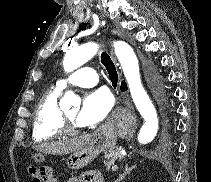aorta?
Segmentation results:
<instances>
[{"label":"aorta","instance_id":"762f6f07","mask_svg":"<svg viewBox=\"0 0 211 182\" xmlns=\"http://www.w3.org/2000/svg\"><path fill=\"white\" fill-rule=\"evenodd\" d=\"M113 46L122 66L134 104L144 119V124L138 134V141L140 144H147L155 138L159 128L156 109L142 86L138 60L131 46L124 41H116ZM98 49L99 45L94 42L71 49L64 57L65 71H74L94 57ZM75 99V94L72 91H67L62 98V102L71 103Z\"/></svg>","mask_w":211,"mask_h":182}]
</instances>
